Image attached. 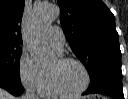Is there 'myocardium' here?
I'll return each mask as SVG.
<instances>
[{"instance_id": "myocardium-1", "label": "myocardium", "mask_w": 128, "mask_h": 99, "mask_svg": "<svg viewBox=\"0 0 128 99\" xmlns=\"http://www.w3.org/2000/svg\"><path fill=\"white\" fill-rule=\"evenodd\" d=\"M58 60L61 63L73 62V63L78 64L84 72L85 82L79 90L74 91V92H66L59 88L53 74L48 71V79H49V83H50V86L53 92L60 97H66V98H74V97L82 95L88 89L91 83L90 73L87 67L85 66V64L81 60L74 58V57H60Z\"/></svg>"}]
</instances>
